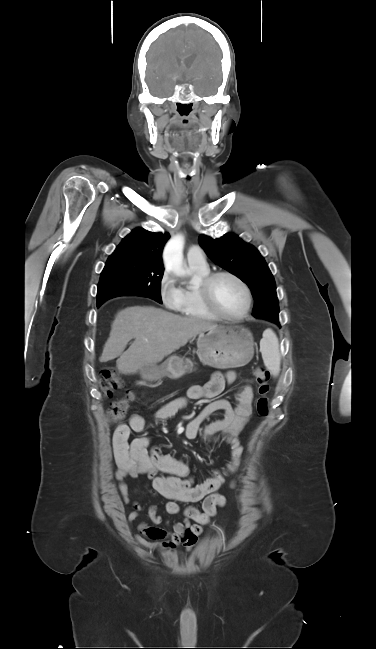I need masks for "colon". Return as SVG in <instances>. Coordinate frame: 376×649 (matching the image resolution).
I'll return each instance as SVG.
<instances>
[{"instance_id": "obj_1", "label": "colon", "mask_w": 376, "mask_h": 649, "mask_svg": "<svg viewBox=\"0 0 376 649\" xmlns=\"http://www.w3.org/2000/svg\"><path fill=\"white\" fill-rule=\"evenodd\" d=\"M254 378L257 383V391L259 394L257 412L260 416L266 417L269 414L268 393L270 390V372L265 367L258 366L254 370ZM100 386L103 393L110 396L113 391L120 389L123 386V382L116 371L106 369L100 374ZM133 398V392L128 391L125 397L112 402L107 409L108 419L111 422H115L123 418L129 410Z\"/></svg>"}]
</instances>
